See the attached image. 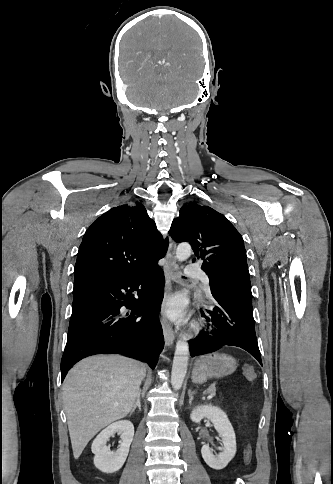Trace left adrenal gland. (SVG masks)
Masks as SVG:
<instances>
[{"instance_id":"1","label":"left adrenal gland","mask_w":333,"mask_h":484,"mask_svg":"<svg viewBox=\"0 0 333 484\" xmlns=\"http://www.w3.org/2000/svg\"><path fill=\"white\" fill-rule=\"evenodd\" d=\"M196 393V391H192L191 389H189L188 391V396H189V404L191 405L192 404V401H193V395Z\"/></svg>"}]
</instances>
